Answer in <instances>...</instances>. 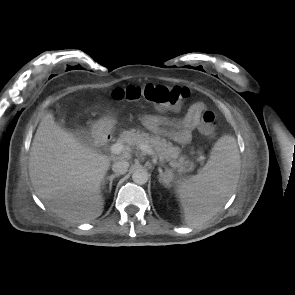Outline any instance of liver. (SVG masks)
I'll list each match as a JSON object with an SVG mask.
<instances>
[{
    "label": "liver",
    "mask_w": 295,
    "mask_h": 295,
    "mask_svg": "<svg viewBox=\"0 0 295 295\" xmlns=\"http://www.w3.org/2000/svg\"><path fill=\"white\" fill-rule=\"evenodd\" d=\"M82 145L46 113L35 133L29 157V175L37 196L59 217L88 222L104 209L101 185L111 160Z\"/></svg>",
    "instance_id": "1"
}]
</instances>
